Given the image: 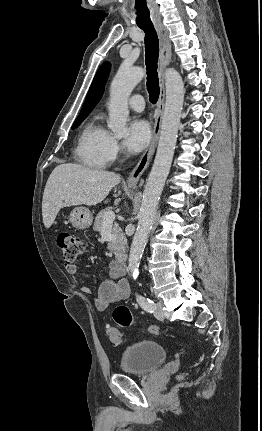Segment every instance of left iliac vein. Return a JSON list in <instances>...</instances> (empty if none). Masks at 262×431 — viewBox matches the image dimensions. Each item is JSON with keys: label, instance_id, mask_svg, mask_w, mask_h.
<instances>
[{"label": "left iliac vein", "instance_id": "obj_1", "mask_svg": "<svg viewBox=\"0 0 262 431\" xmlns=\"http://www.w3.org/2000/svg\"><path fill=\"white\" fill-rule=\"evenodd\" d=\"M154 316L159 320L164 319L163 302L161 300L157 301L156 303L154 308Z\"/></svg>", "mask_w": 262, "mask_h": 431}]
</instances>
